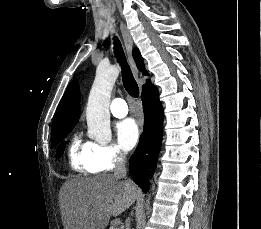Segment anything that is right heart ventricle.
<instances>
[{
	"label": "right heart ventricle",
	"instance_id": "right-heart-ventricle-1",
	"mask_svg": "<svg viewBox=\"0 0 261 229\" xmlns=\"http://www.w3.org/2000/svg\"><path fill=\"white\" fill-rule=\"evenodd\" d=\"M93 150L94 143L74 138L68 151L71 167L80 172H94L91 164Z\"/></svg>",
	"mask_w": 261,
	"mask_h": 229
}]
</instances>
